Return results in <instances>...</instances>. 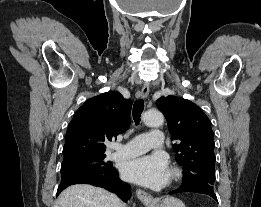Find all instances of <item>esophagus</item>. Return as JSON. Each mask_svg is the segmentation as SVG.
Wrapping results in <instances>:
<instances>
[{
	"label": "esophagus",
	"mask_w": 261,
	"mask_h": 207,
	"mask_svg": "<svg viewBox=\"0 0 261 207\" xmlns=\"http://www.w3.org/2000/svg\"><path fill=\"white\" fill-rule=\"evenodd\" d=\"M149 95V85L148 84H144L142 86L141 91L139 92V97L141 98H146ZM136 195L138 197V199L144 204V205H150L153 203V197L148 194L147 192L143 191V190H137L136 191Z\"/></svg>",
	"instance_id": "esophagus-1"
}]
</instances>
